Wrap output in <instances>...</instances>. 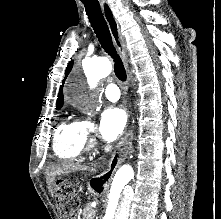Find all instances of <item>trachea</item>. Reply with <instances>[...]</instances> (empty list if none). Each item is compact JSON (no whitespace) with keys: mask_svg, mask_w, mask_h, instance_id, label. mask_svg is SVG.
<instances>
[{"mask_svg":"<svg viewBox=\"0 0 221 219\" xmlns=\"http://www.w3.org/2000/svg\"><path fill=\"white\" fill-rule=\"evenodd\" d=\"M89 19V22L98 38L102 48L108 55L111 56L114 62V72L116 77L121 80H126V71L121 58L117 54L112 42V37L109 31L107 22L103 16L99 3L87 2L83 3Z\"/></svg>","mask_w":221,"mask_h":219,"instance_id":"1","label":"trachea"}]
</instances>
